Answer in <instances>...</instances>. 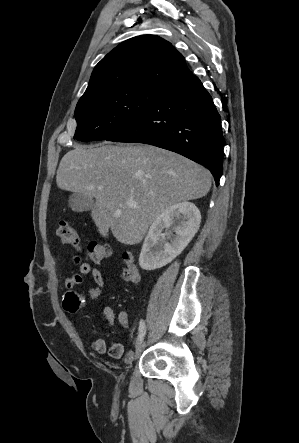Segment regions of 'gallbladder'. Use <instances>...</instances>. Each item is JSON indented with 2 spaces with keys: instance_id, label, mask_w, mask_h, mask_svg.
Masks as SVG:
<instances>
[{
  "instance_id": "bac80fb5",
  "label": "gallbladder",
  "mask_w": 299,
  "mask_h": 443,
  "mask_svg": "<svg viewBox=\"0 0 299 443\" xmlns=\"http://www.w3.org/2000/svg\"><path fill=\"white\" fill-rule=\"evenodd\" d=\"M69 207L75 212L90 211L93 208L94 200L92 197L82 193H73L69 197Z\"/></svg>"
}]
</instances>
